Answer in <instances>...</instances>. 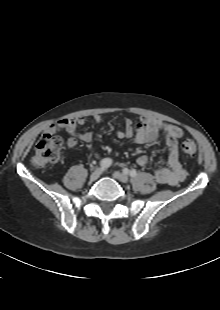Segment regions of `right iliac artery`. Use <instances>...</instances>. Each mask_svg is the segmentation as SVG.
<instances>
[{
  "instance_id": "1",
  "label": "right iliac artery",
  "mask_w": 220,
  "mask_h": 310,
  "mask_svg": "<svg viewBox=\"0 0 220 310\" xmlns=\"http://www.w3.org/2000/svg\"><path fill=\"white\" fill-rule=\"evenodd\" d=\"M112 164V160L110 158H104L101 162H100V166L101 168L104 170L106 168H108L110 165Z\"/></svg>"
}]
</instances>
